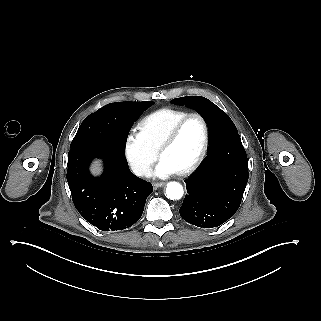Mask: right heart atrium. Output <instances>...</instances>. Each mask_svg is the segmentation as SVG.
Instances as JSON below:
<instances>
[{
    "instance_id": "obj_1",
    "label": "right heart atrium",
    "mask_w": 321,
    "mask_h": 321,
    "mask_svg": "<svg viewBox=\"0 0 321 321\" xmlns=\"http://www.w3.org/2000/svg\"><path fill=\"white\" fill-rule=\"evenodd\" d=\"M124 155L136 176L147 177L156 159V149L140 130L133 128L125 138Z\"/></svg>"
}]
</instances>
